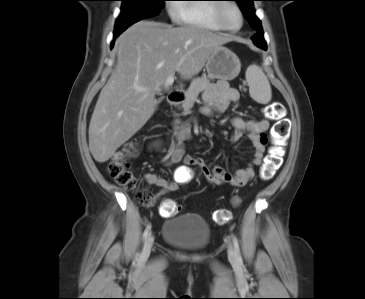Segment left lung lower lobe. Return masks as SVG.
Wrapping results in <instances>:
<instances>
[{
    "label": "left lung lower lobe",
    "instance_id": "1",
    "mask_svg": "<svg viewBox=\"0 0 365 299\" xmlns=\"http://www.w3.org/2000/svg\"><path fill=\"white\" fill-rule=\"evenodd\" d=\"M252 40L254 41V44L257 46V47H260L261 49H264L266 50L267 48V45H266V42L263 38V33H257L253 38Z\"/></svg>",
    "mask_w": 365,
    "mask_h": 299
}]
</instances>
